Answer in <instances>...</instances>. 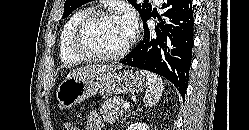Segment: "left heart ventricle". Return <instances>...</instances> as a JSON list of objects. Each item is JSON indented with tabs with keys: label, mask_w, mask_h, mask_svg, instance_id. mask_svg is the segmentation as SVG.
<instances>
[{
	"label": "left heart ventricle",
	"mask_w": 249,
	"mask_h": 130,
	"mask_svg": "<svg viewBox=\"0 0 249 130\" xmlns=\"http://www.w3.org/2000/svg\"><path fill=\"white\" fill-rule=\"evenodd\" d=\"M132 32L122 15L102 17L87 29L85 42L93 51L112 54L118 52L131 38Z\"/></svg>",
	"instance_id": "left-heart-ventricle-1"
}]
</instances>
